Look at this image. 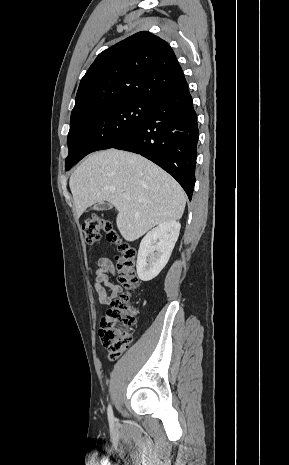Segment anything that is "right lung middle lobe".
<instances>
[{
	"mask_svg": "<svg viewBox=\"0 0 289 465\" xmlns=\"http://www.w3.org/2000/svg\"><path fill=\"white\" fill-rule=\"evenodd\" d=\"M151 109L152 101L139 99L92 108L83 120L70 127L66 170L89 153L111 148L123 140L150 116Z\"/></svg>",
	"mask_w": 289,
	"mask_h": 465,
	"instance_id": "obj_1",
	"label": "right lung middle lobe"
}]
</instances>
